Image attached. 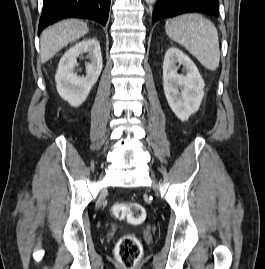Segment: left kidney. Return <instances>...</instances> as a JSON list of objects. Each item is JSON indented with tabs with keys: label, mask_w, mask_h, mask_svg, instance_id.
<instances>
[{
	"label": "left kidney",
	"mask_w": 265,
	"mask_h": 269,
	"mask_svg": "<svg viewBox=\"0 0 265 269\" xmlns=\"http://www.w3.org/2000/svg\"><path fill=\"white\" fill-rule=\"evenodd\" d=\"M180 65H183L185 75L178 74ZM204 86L194 62L178 48H169L163 62V88L171 110L180 120L186 121L197 112Z\"/></svg>",
	"instance_id": "obj_1"
}]
</instances>
